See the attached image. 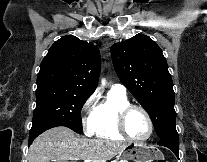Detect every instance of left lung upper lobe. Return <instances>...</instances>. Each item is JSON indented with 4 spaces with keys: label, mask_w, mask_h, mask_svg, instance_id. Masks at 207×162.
Segmentation results:
<instances>
[{
    "label": "left lung upper lobe",
    "mask_w": 207,
    "mask_h": 162,
    "mask_svg": "<svg viewBox=\"0 0 207 162\" xmlns=\"http://www.w3.org/2000/svg\"><path fill=\"white\" fill-rule=\"evenodd\" d=\"M111 55L121 82L148 112L158 137L177 133L173 82L159 46L137 34L112 45Z\"/></svg>",
    "instance_id": "left-lung-upper-lobe-1"
}]
</instances>
